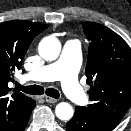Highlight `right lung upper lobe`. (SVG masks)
Returning <instances> with one entry per match:
<instances>
[{
  "label": "right lung upper lobe",
  "instance_id": "right-lung-upper-lobe-1",
  "mask_svg": "<svg viewBox=\"0 0 131 131\" xmlns=\"http://www.w3.org/2000/svg\"><path fill=\"white\" fill-rule=\"evenodd\" d=\"M47 25L29 21L0 23V131H18L32 109L34 100L8 87L15 69L35 36Z\"/></svg>",
  "mask_w": 131,
  "mask_h": 131
}]
</instances>
